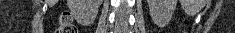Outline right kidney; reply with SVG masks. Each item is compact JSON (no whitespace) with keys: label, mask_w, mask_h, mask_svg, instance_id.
I'll use <instances>...</instances> for the list:
<instances>
[{"label":"right kidney","mask_w":235,"mask_h":33,"mask_svg":"<svg viewBox=\"0 0 235 33\" xmlns=\"http://www.w3.org/2000/svg\"><path fill=\"white\" fill-rule=\"evenodd\" d=\"M100 3L101 0H68V7L75 18L93 21Z\"/></svg>","instance_id":"right-kidney-1"}]
</instances>
